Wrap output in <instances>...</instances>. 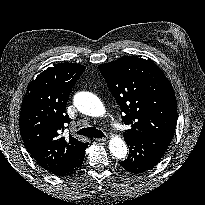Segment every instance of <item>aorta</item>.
<instances>
[{
	"label": "aorta",
	"instance_id": "obj_1",
	"mask_svg": "<svg viewBox=\"0 0 205 205\" xmlns=\"http://www.w3.org/2000/svg\"><path fill=\"white\" fill-rule=\"evenodd\" d=\"M73 103L78 111L88 116L101 117L105 112L103 103L96 95L90 92L82 91L76 93ZM109 150L112 156L118 160L125 159L128 153L126 143L117 136L110 140Z\"/></svg>",
	"mask_w": 205,
	"mask_h": 205
}]
</instances>
